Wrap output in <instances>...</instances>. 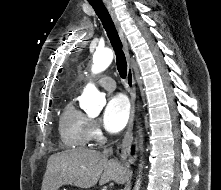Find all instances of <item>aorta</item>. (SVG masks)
Here are the masks:
<instances>
[{"mask_svg": "<svg viewBox=\"0 0 221 190\" xmlns=\"http://www.w3.org/2000/svg\"><path fill=\"white\" fill-rule=\"evenodd\" d=\"M113 60V52L111 49H98L93 55L92 72L98 74L106 70ZM82 105L89 116H97L106 100L98 91L94 84L89 83L84 88L81 96ZM138 184V183H137ZM136 186L135 190H138Z\"/></svg>", "mask_w": 221, "mask_h": 190, "instance_id": "1", "label": "aorta"}]
</instances>
